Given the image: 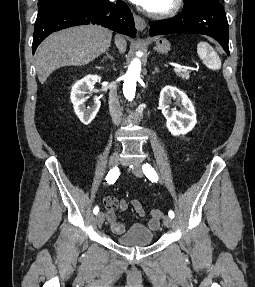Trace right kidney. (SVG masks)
Here are the masks:
<instances>
[{
    "label": "right kidney",
    "instance_id": "ca27d5eb",
    "mask_svg": "<svg viewBox=\"0 0 255 287\" xmlns=\"http://www.w3.org/2000/svg\"><path fill=\"white\" fill-rule=\"evenodd\" d=\"M98 80H100V76H85V78L78 80V82L72 86L70 98L74 106V112L76 116H78L80 122L85 124V126H88V124L94 120L101 106L99 100H94V106H91V108H86L84 104V102L88 100L85 94H90L88 90H92L94 84H96Z\"/></svg>",
    "mask_w": 255,
    "mask_h": 287
}]
</instances>
